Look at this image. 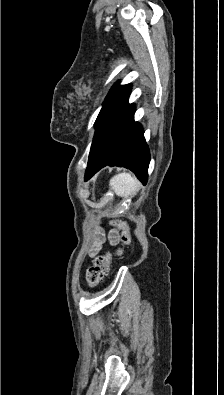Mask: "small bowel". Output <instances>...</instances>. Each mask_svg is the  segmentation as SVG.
Here are the masks:
<instances>
[{"instance_id": "c3829d8e", "label": "small bowel", "mask_w": 224, "mask_h": 395, "mask_svg": "<svg viewBox=\"0 0 224 395\" xmlns=\"http://www.w3.org/2000/svg\"><path fill=\"white\" fill-rule=\"evenodd\" d=\"M103 240H104L103 234L99 231L96 232L95 238H94V243L90 248V255L91 256H94L99 252V250L101 248V244L103 243Z\"/></svg>"}]
</instances>
